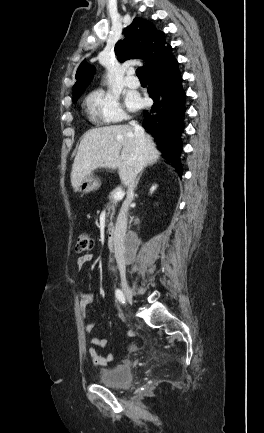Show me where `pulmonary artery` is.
Here are the masks:
<instances>
[{
	"label": "pulmonary artery",
	"mask_w": 264,
	"mask_h": 433,
	"mask_svg": "<svg viewBox=\"0 0 264 433\" xmlns=\"http://www.w3.org/2000/svg\"><path fill=\"white\" fill-rule=\"evenodd\" d=\"M125 85L129 88H138L140 85L139 80L134 76L132 69L128 70L127 76L125 77Z\"/></svg>",
	"instance_id": "pulmonary-artery-1"
}]
</instances>
